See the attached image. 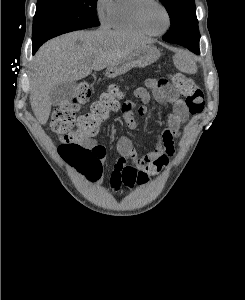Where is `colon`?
I'll return each mask as SVG.
<instances>
[{"label":"colon","instance_id":"5ec220e1","mask_svg":"<svg viewBox=\"0 0 245 300\" xmlns=\"http://www.w3.org/2000/svg\"><path fill=\"white\" fill-rule=\"evenodd\" d=\"M171 81L185 97L186 106L192 115L203 111L204 92L191 78L181 73H174L171 75ZM90 96L89 84L79 83L73 96L55 110L51 128L59 135L60 155L79 172L95 180L100 176L101 163L97 151L86 147L85 143L97 135L101 124L118 109L122 93L117 85H112L101 95L100 100L92 105L89 112L77 118L76 111L88 101ZM147 180V176L140 175L138 184H143Z\"/></svg>","mask_w":245,"mask_h":300}]
</instances>
